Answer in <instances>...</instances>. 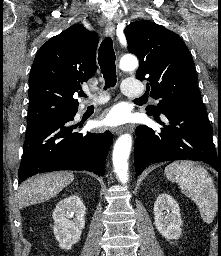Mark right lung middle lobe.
Here are the masks:
<instances>
[{
    "label": "right lung middle lobe",
    "instance_id": "dd1d6c3e",
    "mask_svg": "<svg viewBox=\"0 0 221 256\" xmlns=\"http://www.w3.org/2000/svg\"><path fill=\"white\" fill-rule=\"evenodd\" d=\"M69 114L71 113L48 112V113H42V114H35L33 116L28 117L27 129H31L51 119L64 117Z\"/></svg>",
    "mask_w": 221,
    "mask_h": 256
}]
</instances>
